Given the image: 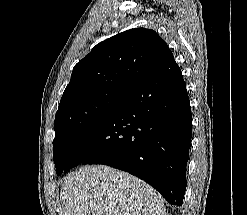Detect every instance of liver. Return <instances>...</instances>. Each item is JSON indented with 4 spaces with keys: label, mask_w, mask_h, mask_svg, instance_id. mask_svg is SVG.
Segmentation results:
<instances>
[{
    "label": "liver",
    "mask_w": 247,
    "mask_h": 215,
    "mask_svg": "<svg viewBox=\"0 0 247 215\" xmlns=\"http://www.w3.org/2000/svg\"><path fill=\"white\" fill-rule=\"evenodd\" d=\"M60 215H166L162 197L147 183L104 165L68 174Z\"/></svg>",
    "instance_id": "obj_1"
}]
</instances>
